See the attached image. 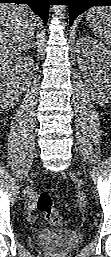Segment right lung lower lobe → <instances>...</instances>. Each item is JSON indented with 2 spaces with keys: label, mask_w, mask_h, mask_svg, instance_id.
I'll return each instance as SVG.
<instances>
[{
  "label": "right lung lower lobe",
  "mask_w": 111,
  "mask_h": 257,
  "mask_svg": "<svg viewBox=\"0 0 111 257\" xmlns=\"http://www.w3.org/2000/svg\"><path fill=\"white\" fill-rule=\"evenodd\" d=\"M51 0H0V3H22L27 4L31 9L41 17L44 24L47 23L48 19V8Z\"/></svg>",
  "instance_id": "right-lung-lower-lobe-1"
}]
</instances>
